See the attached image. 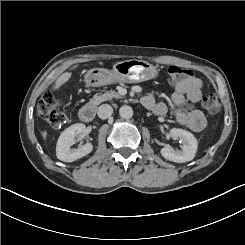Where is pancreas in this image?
Listing matches in <instances>:
<instances>
[{
  "mask_svg": "<svg viewBox=\"0 0 245 245\" xmlns=\"http://www.w3.org/2000/svg\"><path fill=\"white\" fill-rule=\"evenodd\" d=\"M112 98H122V96L116 91H107L101 95H94L93 98L89 100V104L99 105L100 103L110 100Z\"/></svg>",
  "mask_w": 245,
  "mask_h": 245,
  "instance_id": "obj_1",
  "label": "pancreas"
}]
</instances>
